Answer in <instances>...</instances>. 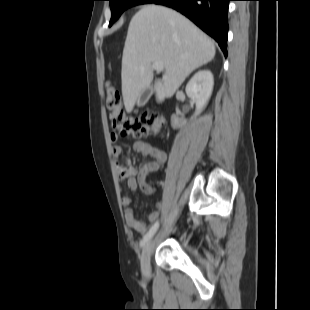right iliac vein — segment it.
I'll use <instances>...</instances> for the list:
<instances>
[{
  "label": "right iliac vein",
  "mask_w": 310,
  "mask_h": 310,
  "mask_svg": "<svg viewBox=\"0 0 310 310\" xmlns=\"http://www.w3.org/2000/svg\"><path fill=\"white\" fill-rule=\"evenodd\" d=\"M154 246V239L150 238L144 245L141 254V271L145 277L151 275L150 257Z\"/></svg>",
  "instance_id": "right-iliac-vein-1"
}]
</instances>
